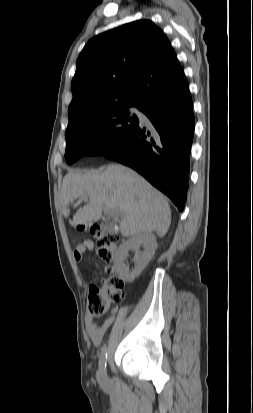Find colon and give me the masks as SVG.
<instances>
[{
	"instance_id": "obj_1",
	"label": "colon",
	"mask_w": 253,
	"mask_h": 413,
	"mask_svg": "<svg viewBox=\"0 0 253 413\" xmlns=\"http://www.w3.org/2000/svg\"><path fill=\"white\" fill-rule=\"evenodd\" d=\"M81 230H87L95 240L98 255L106 262L107 276L102 278L98 284H93L88 291L87 314L98 318L104 315L110 306L119 303L124 297V285L114 273L109 263L112 260L119 237L114 232L104 230L100 225H81Z\"/></svg>"
}]
</instances>
